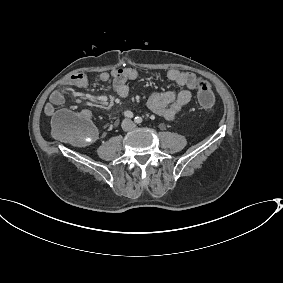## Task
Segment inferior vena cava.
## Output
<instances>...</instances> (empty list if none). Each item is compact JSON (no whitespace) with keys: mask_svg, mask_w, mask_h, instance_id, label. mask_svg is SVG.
<instances>
[{"mask_svg":"<svg viewBox=\"0 0 283 283\" xmlns=\"http://www.w3.org/2000/svg\"><path fill=\"white\" fill-rule=\"evenodd\" d=\"M134 126H135L134 123L129 119H125L122 122V128L124 130H131L132 128H134Z\"/></svg>","mask_w":283,"mask_h":283,"instance_id":"1","label":"inferior vena cava"}]
</instances>
